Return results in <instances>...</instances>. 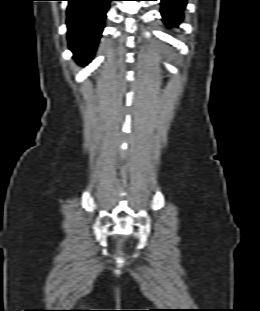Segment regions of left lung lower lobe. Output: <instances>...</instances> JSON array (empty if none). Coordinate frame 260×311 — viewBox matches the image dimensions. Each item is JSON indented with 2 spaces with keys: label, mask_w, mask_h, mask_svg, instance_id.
I'll return each mask as SVG.
<instances>
[{
  "label": "left lung lower lobe",
  "mask_w": 260,
  "mask_h": 311,
  "mask_svg": "<svg viewBox=\"0 0 260 311\" xmlns=\"http://www.w3.org/2000/svg\"><path fill=\"white\" fill-rule=\"evenodd\" d=\"M163 21L165 24L178 25L182 18V10L185 8L186 0H161Z\"/></svg>",
  "instance_id": "0a47b994"
}]
</instances>
